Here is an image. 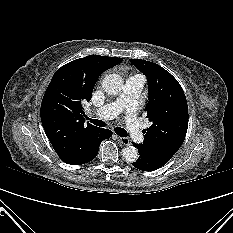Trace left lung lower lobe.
<instances>
[{
    "instance_id": "1",
    "label": "left lung lower lobe",
    "mask_w": 233,
    "mask_h": 233,
    "mask_svg": "<svg viewBox=\"0 0 233 233\" xmlns=\"http://www.w3.org/2000/svg\"><path fill=\"white\" fill-rule=\"evenodd\" d=\"M133 145L137 147L139 151V158L132 163V165L137 169L143 171H154L168 162L143 149L139 144Z\"/></svg>"
}]
</instances>
